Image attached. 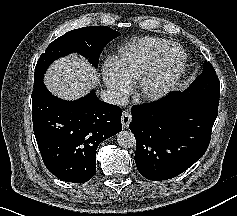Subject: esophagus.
<instances>
[{"mask_svg":"<svg viewBox=\"0 0 237 216\" xmlns=\"http://www.w3.org/2000/svg\"><path fill=\"white\" fill-rule=\"evenodd\" d=\"M131 120H132V117L129 110L127 109L124 110L121 117V123H122L123 128H127Z\"/></svg>","mask_w":237,"mask_h":216,"instance_id":"obj_1","label":"esophagus"}]
</instances>
